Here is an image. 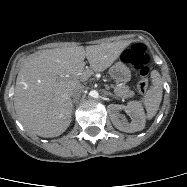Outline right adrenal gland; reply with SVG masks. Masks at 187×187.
Here are the masks:
<instances>
[{"instance_id": "obj_1", "label": "right adrenal gland", "mask_w": 187, "mask_h": 187, "mask_svg": "<svg viewBox=\"0 0 187 187\" xmlns=\"http://www.w3.org/2000/svg\"><path fill=\"white\" fill-rule=\"evenodd\" d=\"M75 102H76V99H73V100H72L73 109H74V104H75Z\"/></svg>"}]
</instances>
